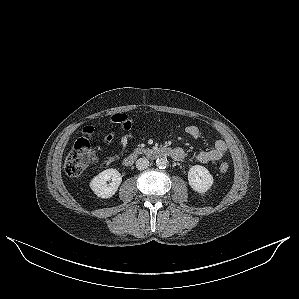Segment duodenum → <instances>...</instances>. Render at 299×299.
I'll list each match as a JSON object with an SVG mask.
<instances>
[{
    "mask_svg": "<svg viewBox=\"0 0 299 299\" xmlns=\"http://www.w3.org/2000/svg\"><path fill=\"white\" fill-rule=\"evenodd\" d=\"M140 154L141 153H139V152H134V153L127 155L123 160L124 166L131 167L135 163L136 159L138 158V156ZM143 154L150 158L169 157V158L175 159V157L177 155V151L170 147H161V148H155V149L149 148V149L144 150Z\"/></svg>",
    "mask_w": 299,
    "mask_h": 299,
    "instance_id": "obj_1",
    "label": "duodenum"
}]
</instances>
